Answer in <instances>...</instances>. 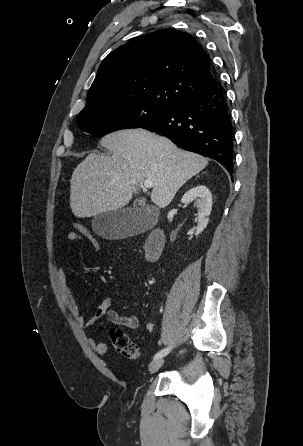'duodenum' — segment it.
I'll list each match as a JSON object with an SVG mask.
<instances>
[{
	"mask_svg": "<svg viewBox=\"0 0 303 446\" xmlns=\"http://www.w3.org/2000/svg\"><path fill=\"white\" fill-rule=\"evenodd\" d=\"M165 244L164 233L159 230H153L144 245L145 255L149 260H155L161 254Z\"/></svg>",
	"mask_w": 303,
	"mask_h": 446,
	"instance_id": "duodenum-1",
	"label": "duodenum"
}]
</instances>
